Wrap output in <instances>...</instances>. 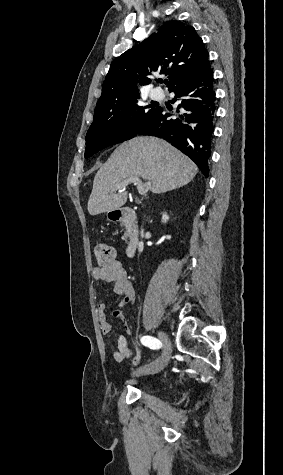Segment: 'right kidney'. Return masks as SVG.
Wrapping results in <instances>:
<instances>
[{"mask_svg":"<svg viewBox=\"0 0 283 475\" xmlns=\"http://www.w3.org/2000/svg\"><path fill=\"white\" fill-rule=\"evenodd\" d=\"M169 220V216H167L166 212H164L163 216H162V222H164V224H166V222H168Z\"/></svg>","mask_w":283,"mask_h":475,"instance_id":"1","label":"right kidney"}]
</instances>
